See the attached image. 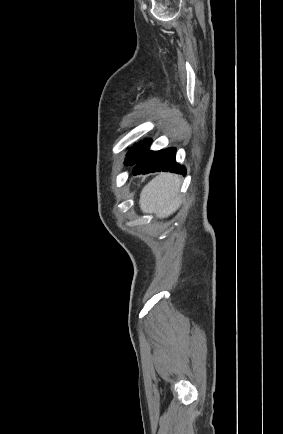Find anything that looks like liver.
<instances>
[{"instance_id":"obj_1","label":"liver","mask_w":283,"mask_h":434,"mask_svg":"<svg viewBox=\"0 0 283 434\" xmlns=\"http://www.w3.org/2000/svg\"><path fill=\"white\" fill-rule=\"evenodd\" d=\"M181 179L171 173H160L141 191L139 205L143 213L156 214L160 219L172 215L181 205Z\"/></svg>"}]
</instances>
